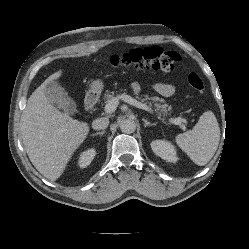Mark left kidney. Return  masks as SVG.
Masks as SVG:
<instances>
[{
    "instance_id": "obj_1",
    "label": "left kidney",
    "mask_w": 249,
    "mask_h": 249,
    "mask_svg": "<svg viewBox=\"0 0 249 249\" xmlns=\"http://www.w3.org/2000/svg\"><path fill=\"white\" fill-rule=\"evenodd\" d=\"M153 152L162 159L175 163L178 160L174 146L165 140H155L151 143Z\"/></svg>"
}]
</instances>
